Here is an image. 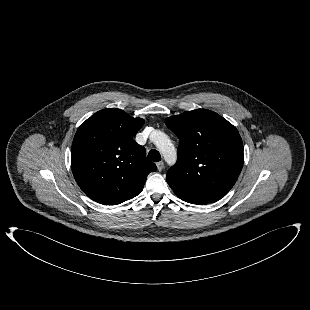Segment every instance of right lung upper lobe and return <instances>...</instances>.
I'll return each mask as SVG.
<instances>
[{
	"label": "right lung upper lobe",
	"mask_w": 310,
	"mask_h": 310,
	"mask_svg": "<svg viewBox=\"0 0 310 310\" xmlns=\"http://www.w3.org/2000/svg\"><path fill=\"white\" fill-rule=\"evenodd\" d=\"M142 118L130 117L118 108L96 112L77 130L71 148L76 182L92 200L116 205L137 196L156 165L133 139Z\"/></svg>",
	"instance_id": "cb5924a9"
}]
</instances>
